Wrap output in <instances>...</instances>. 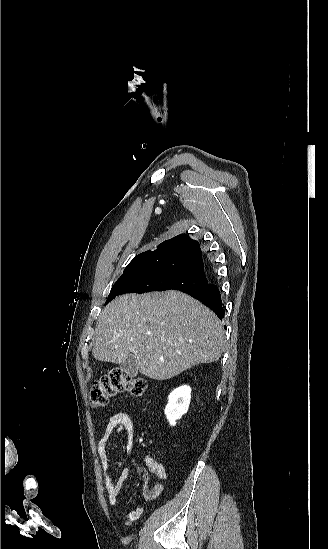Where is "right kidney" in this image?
Returning a JSON list of instances; mask_svg holds the SVG:
<instances>
[{
	"label": "right kidney",
	"mask_w": 328,
	"mask_h": 549,
	"mask_svg": "<svg viewBox=\"0 0 328 549\" xmlns=\"http://www.w3.org/2000/svg\"><path fill=\"white\" fill-rule=\"evenodd\" d=\"M191 389L188 385L178 387L170 393L168 397V405L164 411L170 425H176L177 419H181L189 409L191 399Z\"/></svg>",
	"instance_id": "right-kidney-1"
}]
</instances>
